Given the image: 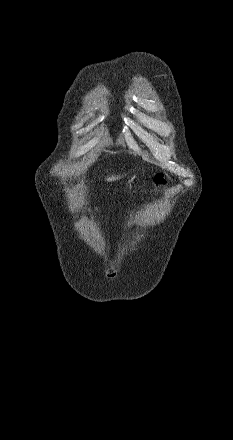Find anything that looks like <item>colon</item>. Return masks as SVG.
Wrapping results in <instances>:
<instances>
[{
	"label": "colon",
	"instance_id": "obj_1",
	"mask_svg": "<svg viewBox=\"0 0 233 440\" xmlns=\"http://www.w3.org/2000/svg\"><path fill=\"white\" fill-rule=\"evenodd\" d=\"M166 185V180L161 173H157L153 179V187L156 192L160 191Z\"/></svg>",
	"mask_w": 233,
	"mask_h": 440
}]
</instances>
